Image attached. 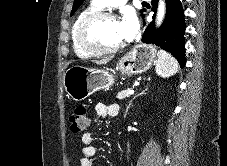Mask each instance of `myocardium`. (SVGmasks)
<instances>
[{
  "label": "myocardium",
  "instance_id": "myocardium-1",
  "mask_svg": "<svg viewBox=\"0 0 227 166\" xmlns=\"http://www.w3.org/2000/svg\"><path fill=\"white\" fill-rule=\"evenodd\" d=\"M118 20V15L110 11H96L84 17L77 26L76 40L78 45L95 55H109L118 52L125 46V42L110 48L103 47L94 42L89 34V29L102 20Z\"/></svg>",
  "mask_w": 227,
  "mask_h": 166
}]
</instances>
